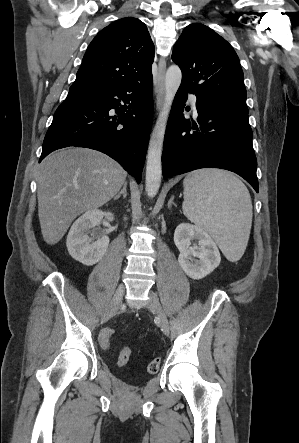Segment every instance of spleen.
<instances>
[{"label":"spleen","mask_w":299,"mask_h":443,"mask_svg":"<svg viewBox=\"0 0 299 443\" xmlns=\"http://www.w3.org/2000/svg\"><path fill=\"white\" fill-rule=\"evenodd\" d=\"M183 185L184 215L213 237L228 260H239L253 216L246 186L230 172L217 169L192 172Z\"/></svg>","instance_id":"1"}]
</instances>
